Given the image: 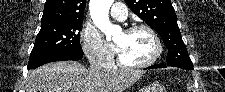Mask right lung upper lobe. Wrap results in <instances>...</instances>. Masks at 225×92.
Instances as JSON below:
<instances>
[{
	"label": "right lung upper lobe",
	"instance_id": "obj_1",
	"mask_svg": "<svg viewBox=\"0 0 225 92\" xmlns=\"http://www.w3.org/2000/svg\"><path fill=\"white\" fill-rule=\"evenodd\" d=\"M86 0H46L41 24L83 22Z\"/></svg>",
	"mask_w": 225,
	"mask_h": 92
}]
</instances>
